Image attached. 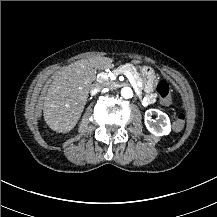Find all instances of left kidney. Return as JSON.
Segmentation results:
<instances>
[{
	"instance_id": "1",
	"label": "left kidney",
	"mask_w": 217,
	"mask_h": 217,
	"mask_svg": "<svg viewBox=\"0 0 217 217\" xmlns=\"http://www.w3.org/2000/svg\"><path fill=\"white\" fill-rule=\"evenodd\" d=\"M152 113H155L158 117V122H154L152 119ZM144 124L146 129L155 136H167L171 133V122L169 116L158 110L148 109L144 115Z\"/></svg>"
}]
</instances>
